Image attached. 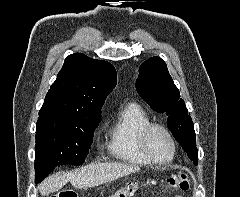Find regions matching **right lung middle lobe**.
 Masks as SVG:
<instances>
[{"mask_svg": "<svg viewBox=\"0 0 240 197\" xmlns=\"http://www.w3.org/2000/svg\"><path fill=\"white\" fill-rule=\"evenodd\" d=\"M100 118L39 116L36 128L35 182L56 166L82 165L88 155Z\"/></svg>", "mask_w": 240, "mask_h": 197, "instance_id": "right-lung-middle-lobe-1", "label": "right lung middle lobe"}]
</instances>
